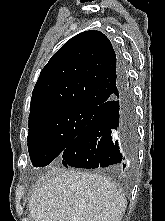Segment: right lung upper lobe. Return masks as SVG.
Returning a JSON list of instances; mask_svg holds the SVG:
<instances>
[{"mask_svg": "<svg viewBox=\"0 0 165 221\" xmlns=\"http://www.w3.org/2000/svg\"><path fill=\"white\" fill-rule=\"evenodd\" d=\"M119 63L100 31L71 38L42 69L32 93L30 114L63 106L97 108L120 87Z\"/></svg>", "mask_w": 165, "mask_h": 221, "instance_id": "cb5924a9", "label": "right lung upper lobe"}]
</instances>
